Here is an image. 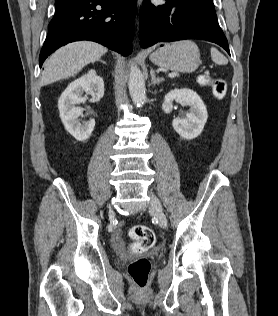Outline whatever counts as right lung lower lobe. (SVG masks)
<instances>
[{
    "label": "right lung lower lobe",
    "mask_w": 278,
    "mask_h": 316,
    "mask_svg": "<svg viewBox=\"0 0 278 316\" xmlns=\"http://www.w3.org/2000/svg\"><path fill=\"white\" fill-rule=\"evenodd\" d=\"M135 9L136 0H56L40 67L53 51L79 40L95 41L127 56L132 51Z\"/></svg>",
    "instance_id": "98d812e1"
}]
</instances>
